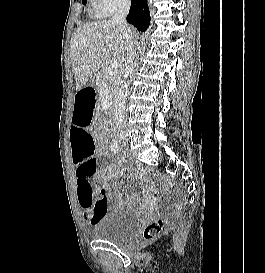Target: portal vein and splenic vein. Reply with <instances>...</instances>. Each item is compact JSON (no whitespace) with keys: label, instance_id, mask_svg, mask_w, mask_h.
Wrapping results in <instances>:
<instances>
[{"label":"portal vein and splenic vein","instance_id":"1","mask_svg":"<svg viewBox=\"0 0 265 273\" xmlns=\"http://www.w3.org/2000/svg\"><path fill=\"white\" fill-rule=\"evenodd\" d=\"M120 67V63L117 60H113L109 63L107 70H106V75L110 76L113 75L114 73L117 72V70Z\"/></svg>","mask_w":265,"mask_h":273}]
</instances>
